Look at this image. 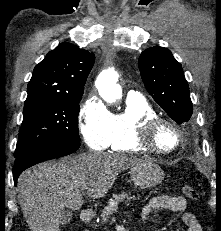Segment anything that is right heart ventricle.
Instances as JSON below:
<instances>
[{
  "mask_svg": "<svg viewBox=\"0 0 221 231\" xmlns=\"http://www.w3.org/2000/svg\"><path fill=\"white\" fill-rule=\"evenodd\" d=\"M156 113L144 98H127L122 112L113 114L111 134L106 148L117 152L147 151L137 142L138 123Z\"/></svg>",
  "mask_w": 221,
  "mask_h": 231,
  "instance_id": "1",
  "label": "right heart ventricle"
}]
</instances>
